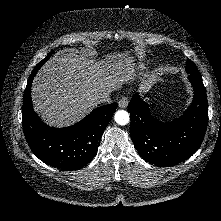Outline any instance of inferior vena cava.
I'll use <instances>...</instances> for the list:
<instances>
[{
	"mask_svg": "<svg viewBox=\"0 0 221 221\" xmlns=\"http://www.w3.org/2000/svg\"><path fill=\"white\" fill-rule=\"evenodd\" d=\"M110 92H103L101 94H99L97 97H96V103L97 104H109L111 103V98H110Z\"/></svg>",
	"mask_w": 221,
	"mask_h": 221,
	"instance_id": "602c4592",
	"label": "inferior vena cava"
}]
</instances>
